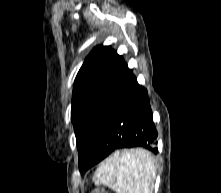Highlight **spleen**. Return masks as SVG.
<instances>
[{
    "label": "spleen",
    "instance_id": "1",
    "mask_svg": "<svg viewBox=\"0 0 221 193\" xmlns=\"http://www.w3.org/2000/svg\"><path fill=\"white\" fill-rule=\"evenodd\" d=\"M156 177L154 157L146 150L114 152L94 173V184L117 193H152Z\"/></svg>",
    "mask_w": 221,
    "mask_h": 193
}]
</instances>
